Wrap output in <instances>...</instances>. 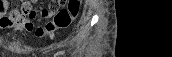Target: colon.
Masks as SVG:
<instances>
[{
    "label": "colon",
    "instance_id": "5ec220e1",
    "mask_svg": "<svg viewBox=\"0 0 172 57\" xmlns=\"http://www.w3.org/2000/svg\"><path fill=\"white\" fill-rule=\"evenodd\" d=\"M63 1L54 0L49 5L48 9L53 13L56 12L53 21L45 25V37L52 36L57 30L64 29L70 26V24L76 19L80 12L81 2L80 0H70L67 7L59 9ZM24 15L33 17L35 10L31 9L29 5H24L21 9Z\"/></svg>",
    "mask_w": 172,
    "mask_h": 57
}]
</instances>
